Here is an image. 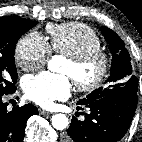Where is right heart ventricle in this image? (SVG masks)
Segmentation results:
<instances>
[{
	"label": "right heart ventricle",
	"mask_w": 142,
	"mask_h": 142,
	"mask_svg": "<svg viewBox=\"0 0 142 142\" xmlns=\"http://www.w3.org/2000/svg\"><path fill=\"white\" fill-rule=\"evenodd\" d=\"M47 32L50 49L68 57L101 47V40L97 33L80 22L50 24L47 26Z\"/></svg>",
	"instance_id": "right-heart-ventricle-1"
}]
</instances>
